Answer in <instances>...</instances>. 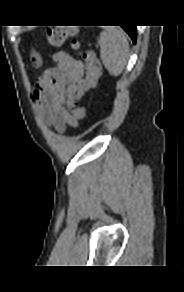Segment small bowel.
Masks as SVG:
<instances>
[{
	"label": "small bowel",
	"mask_w": 184,
	"mask_h": 292,
	"mask_svg": "<svg viewBox=\"0 0 184 292\" xmlns=\"http://www.w3.org/2000/svg\"><path fill=\"white\" fill-rule=\"evenodd\" d=\"M49 57L53 67L38 78L33 99L46 122L58 132H64L67 126H77V119L64 108L65 90L82 78L84 65L64 51ZM33 59L36 65L40 64L38 55Z\"/></svg>",
	"instance_id": "obj_1"
}]
</instances>
